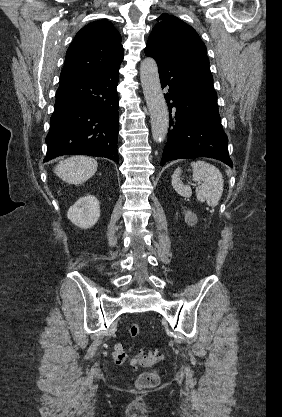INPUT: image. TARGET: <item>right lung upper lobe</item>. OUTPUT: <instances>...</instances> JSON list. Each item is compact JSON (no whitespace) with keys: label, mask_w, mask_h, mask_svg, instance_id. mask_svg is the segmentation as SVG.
I'll return each instance as SVG.
<instances>
[{"label":"right lung upper lobe","mask_w":282,"mask_h":417,"mask_svg":"<svg viewBox=\"0 0 282 417\" xmlns=\"http://www.w3.org/2000/svg\"><path fill=\"white\" fill-rule=\"evenodd\" d=\"M121 36L107 19L83 27L69 46L60 85L119 68L123 60Z\"/></svg>","instance_id":"right-lung-upper-lobe-1"}]
</instances>
